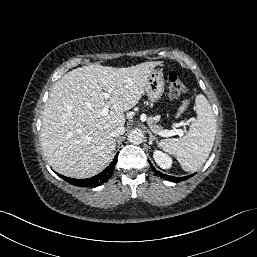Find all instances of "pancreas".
<instances>
[{"instance_id": "1", "label": "pancreas", "mask_w": 257, "mask_h": 257, "mask_svg": "<svg viewBox=\"0 0 257 257\" xmlns=\"http://www.w3.org/2000/svg\"><path fill=\"white\" fill-rule=\"evenodd\" d=\"M155 120H156L155 117L150 116L149 118H147V124H148L149 128L155 133L164 131L161 126L154 124Z\"/></svg>"}]
</instances>
